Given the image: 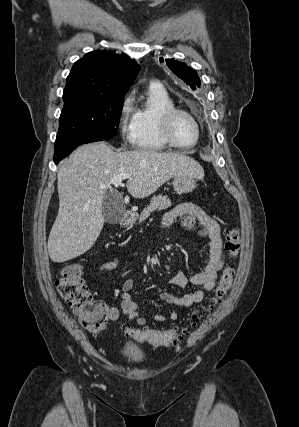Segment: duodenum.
Listing matches in <instances>:
<instances>
[{"instance_id":"1","label":"duodenum","mask_w":299,"mask_h":427,"mask_svg":"<svg viewBox=\"0 0 299 427\" xmlns=\"http://www.w3.org/2000/svg\"><path fill=\"white\" fill-rule=\"evenodd\" d=\"M132 218H133V212L131 210H127L124 214L122 224L123 225H129Z\"/></svg>"}]
</instances>
